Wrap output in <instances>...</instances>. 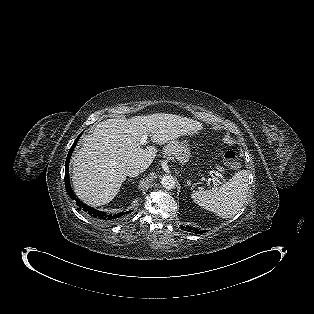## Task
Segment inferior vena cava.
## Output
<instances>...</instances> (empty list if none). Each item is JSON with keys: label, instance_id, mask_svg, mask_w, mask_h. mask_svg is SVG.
Wrapping results in <instances>:
<instances>
[{"label": "inferior vena cava", "instance_id": "1", "mask_svg": "<svg viewBox=\"0 0 314 314\" xmlns=\"http://www.w3.org/2000/svg\"><path fill=\"white\" fill-rule=\"evenodd\" d=\"M143 171L144 168L138 164H130L126 167V174L130 177H136L139 173Z\"/></svg>", "mask_w": 314, "mask_h": 314}]
</instances>
